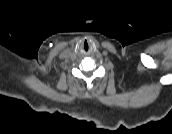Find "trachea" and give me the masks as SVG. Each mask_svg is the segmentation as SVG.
I'll list each match as a JSON object with an SVG mask.
<instances>
[{
  "label": "trachea",
  "mask_w": 172,
  "mask_h": 134,
  "mask_svg": "<svg viewBox=\"0 0 172 134\" xmlns=\"http://www.w3.org/2000/svg\"><path fill=\"white\" fill-rule=\"evenodd\" d=\"M84 44H85V46L88 48V43H87V40H85V43H84Z\"/></svg>",
  "instance_id": "obj_1"
}]
</instances>
